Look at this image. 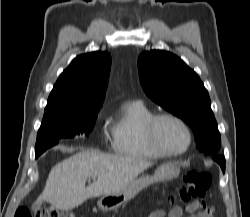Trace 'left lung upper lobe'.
<instances>
[{"label": "left lung upper lobe", "mask_w": 250, "mask_h": 217, "mask_svg": "<svg viewBox=\"0 0 250 217\" xmlns=\"http://www.w3.org/2000/svg\"><path fill=\"white\" fill-rule=\"evenodd\" d=\"M138 67L145 93L192 128L198 150L220 154V133L199 76L179 57L163 50L142 53Z\"/></svg>", "instance_id": "left-lung-upper-lobe-1"}]
</instances>
